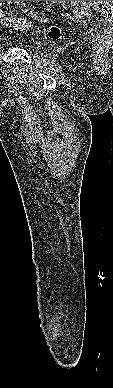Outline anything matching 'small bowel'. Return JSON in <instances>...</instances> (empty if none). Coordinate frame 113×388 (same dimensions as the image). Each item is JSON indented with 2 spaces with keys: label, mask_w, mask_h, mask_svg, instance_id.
Returning a JSON list of instances; mask_svg holds the SVG:
<instances>
[{
  "label": "small bowel",
  "mask_w": 113,
  "mask_h": 388,
  "mask_svg": "<svg viewBox=\"0 0 113 388\" xmlns=\"http://www.w3.org/2000/svg\"><path fill=\"white\" fill-rule=\"evenodd\" d=\"M13 3H15L17 6H21V1H13ZM0 4H1V1H0Z\"/></svg>",
  "instance_id": "small-bowel-1"
}]
</instances>
